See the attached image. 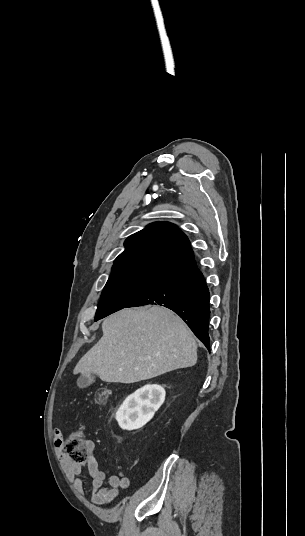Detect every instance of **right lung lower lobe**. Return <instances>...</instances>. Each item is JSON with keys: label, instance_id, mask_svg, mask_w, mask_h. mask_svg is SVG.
<instances>
[{"label": "right lung lower lobe", "instance_id": "obj_1", "mask_svg": "<svg viewBox=\"0 0 305 536\" xmlns=\"http://www.w3.org/2000/svg\"><path fill=\"white\" fill-rule=\"evenodd\" d=\"M158 304L176 312L209 348V290L194 264L166 276L155 287L127 307Z\"/></svg>", "mask_w": 305, "mask_h": 536}]
</instances>
